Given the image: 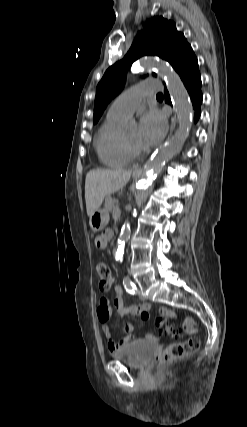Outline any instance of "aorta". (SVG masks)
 Here are the masks:
<instances>
[{
  "label": "aorta",
  "mask_w": 247,
  "mask_h": 427,
  "mask_svg": "<svg viewBox=\"0 0 247 427\" xmlns=\"http://www.w3.org/2000/svg\"><path fill=\"white\" fill-rule=\"evenodd\" d=\"M138 67L143 69H155L158 76L164 78L168 91L173 101L179 127L171 140L162 146L144 167V173L138 183L135 192L136 204H141L146 196L149 187L150 179L157 174L163 167L166 161L174 157L180 148L183 146L189 130L192 126L193 107L189 95L181 81L179 75L167 64L161 63L152 57H145L139 61ZM130 236V222L126 221L118 238V247L116 256L120 259L122 257L125 242Z\"/></svg>",
  "instance_id": "1"
}]
</instances>
